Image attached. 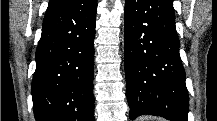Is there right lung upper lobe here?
I'll list each match as a JSON object with an SVG mask.
<instances>
[{
  "mask_svg": "<svg viewBox=\"0 0 217 121\" xmlns=\"http://www.w3.org/2000/svg\"><path fill=\"white\" fill-rule=\"evenodd\" d=\"M58 1H62V0H50L49 3L58 2Z\"/></svg>",
  "mask_w": 217,
  "mask_h": 121,
  "instance_id": "cb5924a9",
  "label": "right lung upper lobe"
}]
</instances>
